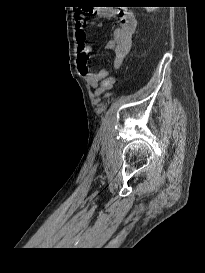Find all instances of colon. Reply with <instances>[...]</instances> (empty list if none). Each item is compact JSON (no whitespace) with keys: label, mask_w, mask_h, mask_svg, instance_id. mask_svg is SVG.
Instances as JSON below:
<instances>
[{"label":"colon","mask_w":205,"mask_h":273,"mask_svg":"<svg viewBox=\"0 0 205 273\" xmlns=\"http://www.w3.org/2000/svg\"><path fill=\"white\" fill-rule=\"evenodd\" d=\"M113 83H114L113 77H108L107 79H105L102 83L101 92L109 90L112 87Z\"/></svg>","instance_id":"1"}]
</instances>
